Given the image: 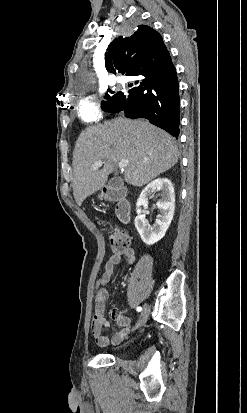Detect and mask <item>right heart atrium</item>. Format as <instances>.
Here are the masks:
<instances>
[{"label": "right heart atrium", "instance_id": "obj_1", "mask_svg": "<svg viewBox=\"0 0 247 413\" xmlns=\"http://www.w3.org/2000/svg\"><path fill=\"white\" fill-rule=\"evenodd\" d=\"M95 108V101L94 100H83L82 105L77 106V113L79 119H84L86 124H91L93 119H101L103 117L102 108L97 106L95 110H91ZM100 130V129H96Z\"/></svg>", "mask_w": 247, "mask_h": 413}]
</instances>
